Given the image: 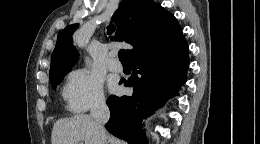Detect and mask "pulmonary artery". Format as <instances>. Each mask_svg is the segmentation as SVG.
<instances>
[{
  "label": "pulmonary artery",
  "mask_w": 260,
  "mask_h": 144,
  "mask_svg": "<svg viewBox=\"0 0 260 144\" xmlns=\"http://www.w3.org/2000/svg\"><path fill=\"white\" fill-rule=\"evenodd\" d=\"M108 68L111 71L120 72L122 71V65L121 63L113 56L111 55L108 61Z\"/></svg>",
  "instance_id": "1"
}]
</instances>
